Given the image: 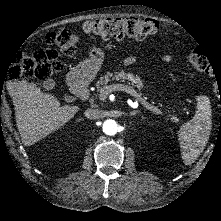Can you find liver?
Instances as JSON below:
<instances>
[{"instance_id":"6515ba94","label":"liver","mask_w":221,"mask_h":221,"mask_svg":"<svg viewBox=\"0 0 221 221\" xmlns=\"http://www.w3.org/2000/svg\"><path fill=\"white\" fill-rule=\"evenodd\" d=\"M9 95L14 105L16 125L25 146H31L55 132L79 110L76 106L61 107L57 98L27 81L15 82L9 88Z\"/></svg>"}]
</instances>
